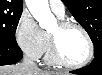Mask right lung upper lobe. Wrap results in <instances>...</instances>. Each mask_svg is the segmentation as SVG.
<instances>
[{
    "mask_svg": "<svg viewBox=\"0 0 102 75\" xmlns=\"http://www.w3.org/2000/svg\"><path fill=\"white\" fill-rule=\"evenodd\" d=\"M0 4L12 7H23L22 0H0Z\"/></svg>",
    "mask_w": 102,
    "mask_h": 75,
    "instance_id": "right-lung-upper-lobe-1",
    "label": "right lung upper lobe"
}]
</instances>
